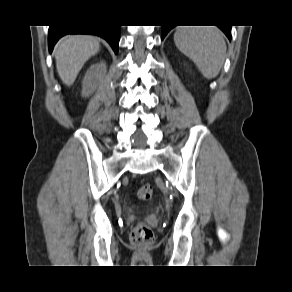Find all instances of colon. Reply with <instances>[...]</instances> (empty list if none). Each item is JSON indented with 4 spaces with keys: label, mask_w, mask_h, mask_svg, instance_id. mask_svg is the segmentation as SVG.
Here are the masks:
<instances>
[{
    "label": "colon",
    "mask_w": 292,
    "mask_h": 292,
    "mask_svg": "<svg viewBox=\"0 0 292 292\" xmlns=\"http://www.w3.org/2000/svg\"><path fill=\"white\" fill-rule=\"evenodd\" d=\"M152 195V187L148 184L141 186L137 190V198L139 200L149 201L152 198ZM130 238L132 243L141 245L151 243L154 239V235L152 229L148 225L139 223L131 231Z\"/></svg>",
    "instance_id": "1"
}]
</instances>
